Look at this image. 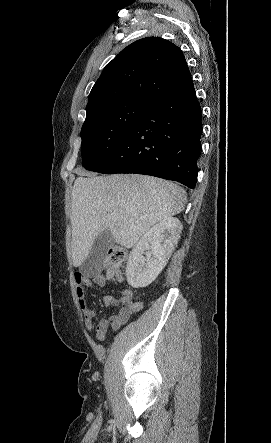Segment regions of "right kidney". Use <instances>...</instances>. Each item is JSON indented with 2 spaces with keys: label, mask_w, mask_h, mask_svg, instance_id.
Masks as SVG:
<instances>
[{
  "label": "right kidney",
  "mask_w": 271,
  "mask_h": 443,
  "mask_svg": "<svg viewBox=\"0 0 271 443\" xmlns=\"http://www.w3.org/2000/svg\"><path fill=\"white\" fill-rule=\"evenodd\" d=\"M181 229L180 220L170 216L153 225L142 235L130 251L127 261L126 277L129 285L146 287L156 279L171 257L178 243Z\"/></svg>",
  "instance_id": "right-kidney-1"
}]
</instances>
